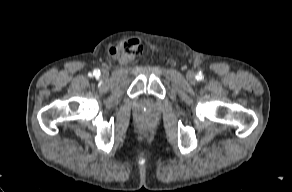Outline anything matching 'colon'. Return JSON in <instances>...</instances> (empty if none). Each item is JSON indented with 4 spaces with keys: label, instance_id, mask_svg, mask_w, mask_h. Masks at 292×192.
Masks as SVG:
<instances>
[{
    "label": "colon",
    "instance_id": "obj_1",
    "mask_svg": "<svg viewBox=\"0 0 292 192\" xmlns=\"http://www.w3.org/2000/svg\"><path fill=\"white\" fill-rule=\"evenodd\" d=\"M141 51V47L140 45L133 41V40H130V41H127L124 46H123V52H126V53H140Z\"/></svg>",
    "mask_w": 292,
    "mask_h": 192
}]
</instances>
